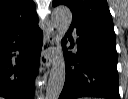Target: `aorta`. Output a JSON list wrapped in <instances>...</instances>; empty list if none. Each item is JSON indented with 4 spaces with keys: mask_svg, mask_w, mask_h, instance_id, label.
<instances>
[{
    "mask_svg": "<svg viewBox=\"0 0 128 99\" xmlns=\"http://www.w3.org/2000/svg\"><path fill=\"white\" fill-rule=\"evenodd\" d=\"M53 22L56 29V37L60 42L65 36L72 22V13L67 6L60 5L53 10ZM65 60L61 45L57 46V54L53 59L50 76L46 88V99H58L65 82Z\"/></svg>",
    "mask_w": 128,
    "mask_h": 99,
    "instance_id": "aorta-1",
    "label": "aorta"
}]
</instances>
